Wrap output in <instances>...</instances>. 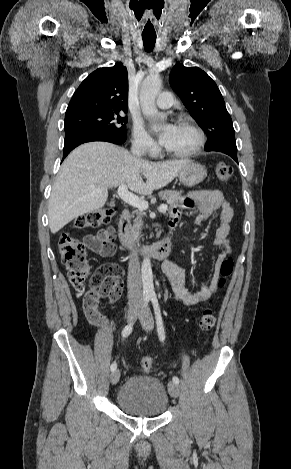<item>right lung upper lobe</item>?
Returning <instances> with one entry per match:
<instances>
[{"label": "right lung upper lobe", "mask_w": 291, "mask_h": 469, "mask_svg": "<svg viewBox=\"0 0 291 469\" xmlns=\"http://www.w3.org/2000/svg\"><path fill=\"white\" fill-rule=\"evenodd\" d=\"M127 99V69L118 62L113 67L92 72L73 94L66 113L89 109L126 112Z\"/></svg>", "instance_id": "right-lung-upper-lobe-1"}]
</instances>
